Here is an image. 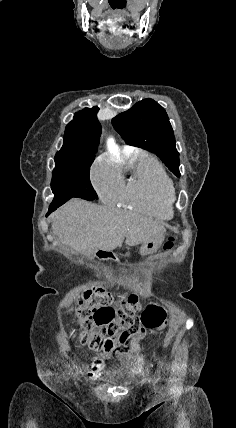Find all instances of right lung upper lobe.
I'll return each mask as SVG.
<instances>
[{"instance_id":"right-lung-upper-lobe-1","label":"right lung upper lobe","mask_w":236,"mask_h":428,"mask_svg":"<svg viewBox=\"0 0 236 428\" xmlns=\"http://www.w3.org/2000/svg\"><path fill=\"white\" fill-rule=\"evenodd\" d=\"M97 106L77 112L66 126L64 142L55 155V162L77 163L94 161L101 135Z\"/></svg>"}]
</instances>
